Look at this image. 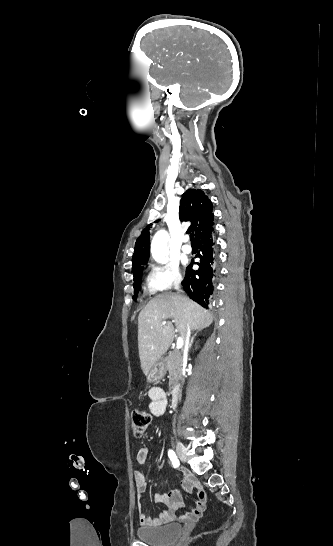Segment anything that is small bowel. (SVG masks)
<instances>
[{"mask_svg":"<svg viewBox=\"0 0 333 546\" xmlns=\"http://www.w3.org/2000/svg\"><path fill=\"white\" fill-rule=\"evenodd\" d=\"M148 397L150 399L149 408L154 416L163 415L168 408V398L165 390L161 387H152L148 391ZM149 455V449L147 447H141L137 452V461L140 464L145 463ZM134 480L138 498V510H139V522L141 526L146 527H158L171 522L174 518V510L177 506L182 504L183 493L196 492L195 506L190 512L186 513L183 518L189 521H195L199 519L205 509L206 493L200 483L195 477L188 471L183 472V478L181 481V488L169 493H157L155 495V501L157 503L165 504L168 509L162 511L158 517H147L140 505V499L147 489V479L140 471H135Z\"/></svg>","mask_w":333,"mask_h":546,"instance_id":"small-bowel-1","label":"small bowel"}]
</instances>
